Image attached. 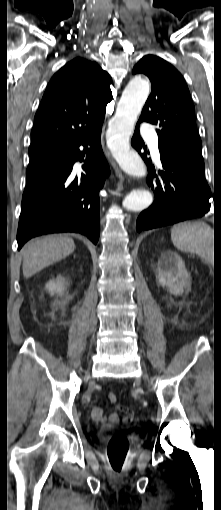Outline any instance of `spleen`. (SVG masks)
Returning a JSON list of instances; mask_svg holds the SVG:
<instances>
[{
	"label": "spleen",
	"mask_w": 221,
	"mask_h": 510,
	"mask_svg": "<svg viewBox=\"0 0 221 510\" xmlns=\"http://www.w3.org/2000/svg\"><path fill=\"white\" fill-rule=\"evenodd\" d=\"M174 246L184 252L195 253L208 262L213 259V230L204 222H182L171 229Z\"/></svg>",
	"instance_id": "3e777b00"
}]
</instances>
